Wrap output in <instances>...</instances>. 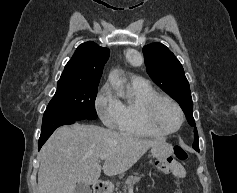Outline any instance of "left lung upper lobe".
<instances>
[{"label":"left lung upper lobe","mask_w":237,"mask_h":193,"mask_svg":"<svg viewBox=\"0 0 237 193\" xmlns=\"http://www.w3.org/2000/svg\"><path fill=\"white\" fill-rule=\"evenodd\" d=\"M143 53L151 79L180 104L188 123L195 126L190 87L181 63L165 45L158 42L144 46ZM194 133L193 146L199 148L196 128Z\"/></svg>","instance_id":"5c2ea615"}]
</instances>
